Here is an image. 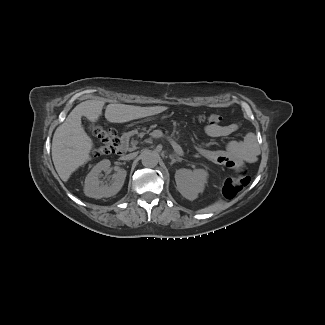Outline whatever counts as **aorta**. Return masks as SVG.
Listing matches in <instances>:
<instances>
[{"instance_id":"762f6f07","label":"aorta","mask_w":325,"mask_h":325,"mask_svg":"<svg viewBox=\"0 0 325 325\" xmlns=\"http://www.w3.org/2000/svg\"><path fill=\"white\" fill-rule=\"evenodd\" d=\"M159 156L150 150L144 151L141 154V162L143 166L153 168L158 164Z\"/></svg>"}]
</instances>
